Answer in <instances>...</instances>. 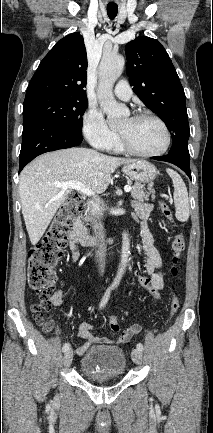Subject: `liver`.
Masks as SVG:
<instances>
[{"label": "liver", "mask_w": 213, "mask_h": 433, "mask_svg": "<svg viewBox=\"0 0 213 433\" xmlns=\"http://www.w3.org/2000/svg\"><path fill=\"white\" fill-rule=\"evenodd\" d=\"M134 161L74 147L43 154L27 165L20 174L19 193L31 244L39 242L71 191L56 183L78 181L102 193L108 188L112 173Z\"/></svg>", "instance_id": "obj_1"}]
</instances>
